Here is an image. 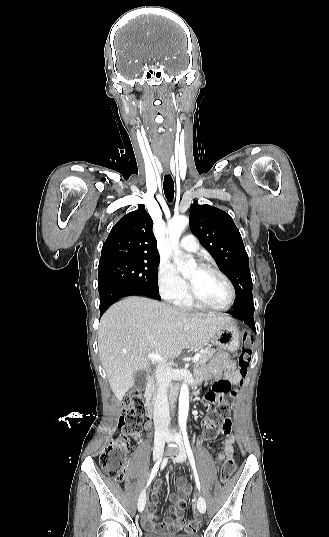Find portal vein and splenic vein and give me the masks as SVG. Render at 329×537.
Here are the masks:
<instances>
[{
	"instance_id": "1",
	"label": "portal vein and splenic vein",
	"mask_w": 329,
	"mask_h": 537,
	"mask_svg": "<svg viewBox=\"0 0 329 537\" xmlns=\"http://www.w3.org/2000/svg\"><path fill=\"white\" fill-rule=\"evenodd\" d=\"M147 357H148L149 359H151V360H154V361H162V360H163L162 357H161L159 354H157V353H149V354L147 355ZM199 359H200V354L198 353V354H196V355L194 356V358H193V362L196 363V362L199 361Z\"/></svg>"
}]
</instances>
